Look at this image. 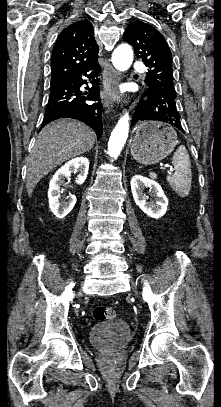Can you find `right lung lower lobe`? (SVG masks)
I'll return each mask as SVG.
<instances>
[{"label": "right lung lower lobe", "mask_w": 221, "mask_h": 407, "mask_svg": "<svg viewBox=\"0 0 221 407\" xmlns=\"http://www.w3.org/2000/svg\"><path fill=\"white\" fill-rule=\"evenodd\" d=\"M100 73L101 67L96 61L52 83L42 127L60 118H73L90 126L100 137L103 133L102 104L99 98ZM88 83L92 87H86L85 92L81 91L80 87Z\"/></svg>", "instance_id": "right-lung-lower-lobe-1"}]
</instances>
